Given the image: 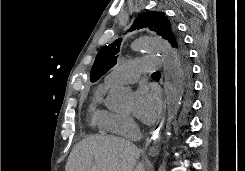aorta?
I'll use <instances>...</instances> for the list:
<instances>
[{"label":"aorta","instance_id":"1","mask_svg":"<svg viewBox=\"0 0 245 171\" xmlns=\"http://www.w3.org/2000/svg\"><path fill=\"white\" fill-rule=\"evenodd\" d=\"M137 52H154L162 60L167 90V102L169 117L166 125L167 137H170L171 114H175L180 106L183 94V83L180 78L179 67H176L177 57L171 45L163 39L156 37H140L132 45ZM133 102L132 93L124 87H115L110 91L107 99V107L115 111H128ZM167 151H165L162 164L158 171H166Z\"/></svg>","mask_w":245,"mask_h":171}]
</instances>
